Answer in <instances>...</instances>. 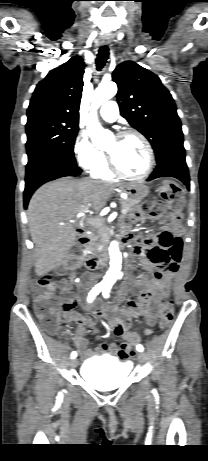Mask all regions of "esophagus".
Instances as JSON below:
<instances>
[{"label":"esophagus","instance_id":"esophagus-1","mask_svg":"<svg viewBox=\"0 0 208 461\" xmlns=\"http://www.w3.org/2000/svg\"><path fill=\"white\" fill-rule=\"evenodd\" d=\"M102 44H103V45L109 44V40H106V39L102 40Z\"/></svg>","mask_w":208,"mask_h":461}]
</instances>
